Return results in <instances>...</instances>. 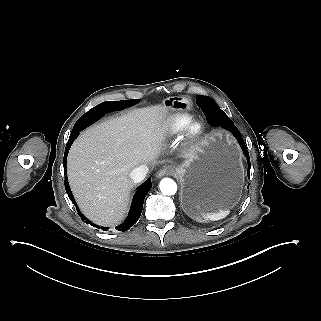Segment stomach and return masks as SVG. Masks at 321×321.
Wrapping results in <instances>:
<instances>
[{"mask_svg":"<svg viewBox=\"0 0 321 321\" xmlns=\"http://www.w3.org/2000/svg\"><path fill=\"white\" fill-rule=\"evenodd\" d=\"M163 104L173 111L187 110L192 100L189 96H170ZM175 171L181 185L182 208L193 219H197L201 211L215 213L231 207L241 198L242 155L235 138L225 130L194 145Z\"/></svg>","mask_w":321,"mask_h":321,"instance_id":"stomach-1","label":"stomach"}]
</instances>
